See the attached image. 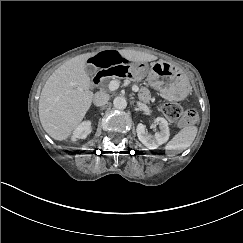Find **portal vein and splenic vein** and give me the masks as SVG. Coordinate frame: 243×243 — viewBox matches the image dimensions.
Instances as JSON below:
<instances>
[{"mask_svg":"<svg viewBox=\"0 0 243 243\" xmlns=\"http://www.w3.org/2000/svg\"><path fill=\"white\" fill-rule=\"evenodd\" d=\"M118 87H119V83L117 81H115V80L110 81L109 84H108V88H109L110 91H115V90L118 89ZM132 90L134 92H138L139 91V87L134 85L132 87Z\"/></svg>","mask_w":243,"mask_h":243,"instance_id":"obj_1","label":"portal vein and splenic vein"}]
</instances>
